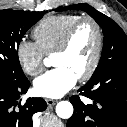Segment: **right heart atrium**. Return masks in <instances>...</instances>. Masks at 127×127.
<instances>
[{
    "instance_id": "d8ad5b80",
    "label": "right heart atrium",
    "mask_w": 127,
    "mask_h": 127,
    "mask_svg": "<svg viewBox=\"0 0 127 127\" xmlns=\"http://www.w3.org/2000/svg\"><path fill=\"white\" fill-rule=\"evenodd\" d=\"M16 57L22 70L27 75L36 77L43 71L44 54L36 42L19 41L16 47Z\"/></svg>"
}]
</instances>
